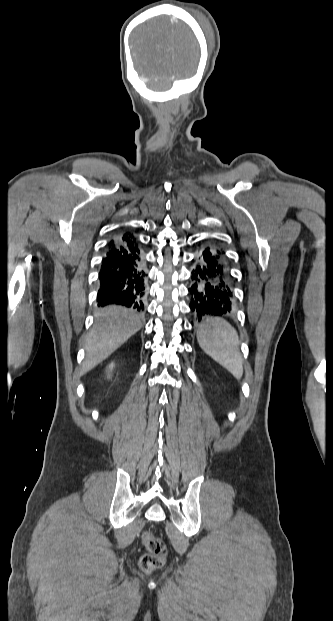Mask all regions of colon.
I'll return each mask as SVG.
<instances>
[{
  "mask_svg": "<svg viewBox=\"0 0 333 621\" xmlns=\"http://www.w3.org/2000/svg\"><path fill=\"white\" fill-rule=\"evenodd\" d=\"M142 543L147 552L140 558V568L146 573H151L163 567L166 561V546L164 541L150 532H144L142 535Z\"/></svg>",
  "mask_w": 333,
  "mask_h": 621,
  "instance_id": "obj_1",
  "label": "colon"
}]
</instances>
